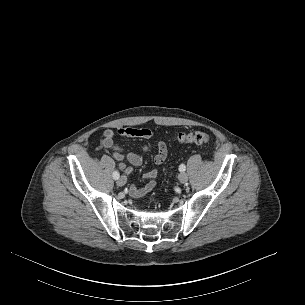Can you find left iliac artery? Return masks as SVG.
<instances>
[{
    "instance_id": "left-iliac-artery-1",
    "label": "left iliac artery",
    "mask_w": 305,
    "mask_h": 305,
    "mask_svg": "<svg viewBox=\"0 0 305 305\" xmlns=\"http://www.w3.org/2000/svg\"><path fill=\"white\" fill-rule=\"evenodd\" d=\"M185 170H186V166H185L184 164H181V165L179 166V171L183 172V171H185Z\"/></svg>"
}]
</instances>
